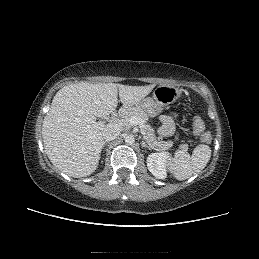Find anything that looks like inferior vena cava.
I'll list each match as a JSON object with an SVG mask.
<instances>
[{
    "mask_svg": "<svg viewBox=\"0 0 259 259\" xmlns=\"http://www.w3.org/2000/svg\"><path fill=\"white\" fill-rule=\"evenodd\" d=\"M120 132H121V129L119 126L114 124H109L104 129L103 137L105 141H112L119 136Z\"/></svg>",
    "mask_w": 259,
    "mask_h": 259,
    "instance_id": "inferior-vena-cava-1",
    "label": "inferior vena cava"
}]
</instances>
